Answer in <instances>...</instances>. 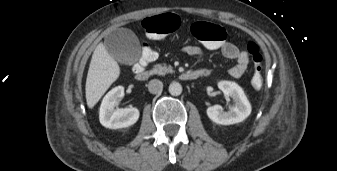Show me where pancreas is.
I'll return each instance as SVG.
<instances>
[{
	"instance_id": "cf45deb5",
	"label": "pancreas",
	"mask_w": 337,
	"mask_h": 171,
	"mask_svg": "<svg viewBox=\"0 0 337 171\" xmlns=\"http://www.w3.org/2000/svg\"><path fill=\"white\" fill-rule=\"evenodd\" d=\"M173 69L171 66L167 67V66H163L161 64H157L154 66V68L152 69L151 73L152 74H159V75H165L167 73H173Z\"/></svg>"
}]
</instances>
